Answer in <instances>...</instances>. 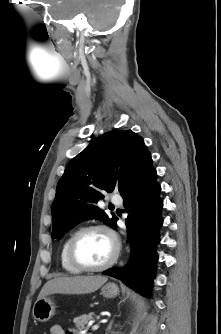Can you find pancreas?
Masks as SVG:
<instances>
[{
    "label": "pancreas",
    "mask_w": 221,
    "mask_h": 334,
    "mask_svg": "<svg viewBox=\"0 0 221 334\" xmlns=\"http://www.w3.org/2000/svg\"><path fill=\"white\" fill-rule=\"evenodd\" d=\"M93 315H94L93 313H89V314H84V315L74 318L73 322L75 326L77 327V329L78 330L85 329V325H87L88 322L93 319Z\"/></svg>",
    "instance_id": "obj_1"
}]
</instances>
